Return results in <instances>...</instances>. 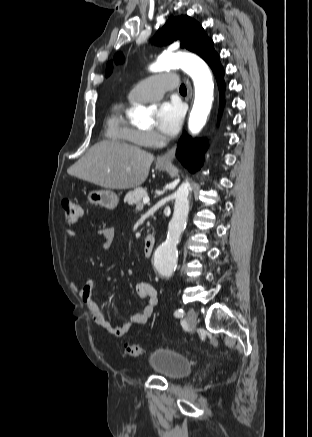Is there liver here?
Masks as SVG:
<instances>
[{"label": "liver", "instance_id": "6515ba94", "mask_svg": "<svg viewBox=\"0 0 312 437\" xmlns=\"http://www.w3.org/2000/svg\"><path fill=\"white\" fill-rule=\"evenodd\" d=\"M153 154L141 148L104 140L93 145L68 174L109 189H129L148 177Z\"/></svg>", "mask_w": 312, "mask_h": 437}]
</instances>
